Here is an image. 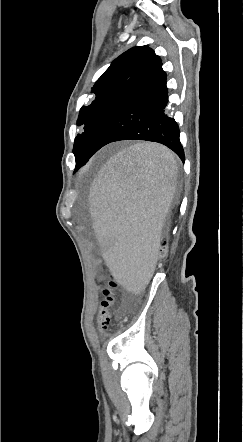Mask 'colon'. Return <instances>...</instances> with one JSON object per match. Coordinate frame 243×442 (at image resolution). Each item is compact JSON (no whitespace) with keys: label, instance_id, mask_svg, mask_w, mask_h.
<instances>
[{"label":"colon","instance_id":"obj_1","mask_svg":"<svg viewBox=\"0 0 243 442\" xmlns=\"http://www.w3.org/2000/svg\"><path fill=\"white\" fill-rule=\"evenodd\" d=\"M161 248L157 253L156 260L159 263L164 262L165 258L168 256L169 252V239L166 236L161 237ZM113 273L110 271L104 272V277L106 278L105 283L108 287L102 292L103 299L96 300V307L99 308L97 315V326L102 331L105 332L111 322V310L115 304L117 290H118V280L111 277Z\"/></svg>","mask_w":243,"mask_h":442}]
</instances>
